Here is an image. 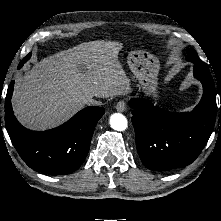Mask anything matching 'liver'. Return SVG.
I'll list each match as a JSON object with an SVG mask.
<instances>
[{
  "label": "liver",
  "mask_w": 221,
  "mask_h": 221,
  "mask_svg": "<svg viewBox=\"0 0 221 221\" xmlns=\"http://www.w3.org/2000/svg\"><path fill=\"white\" fill-rule=\"evenodd\" d=\"M120 42L90 41L44 58L16 78L12 97L18 120L28 128L55 127L81 110L85 98L131 91L118 61Z\"/></svg>",
  "instance_id": "1"
}]
</instances>
